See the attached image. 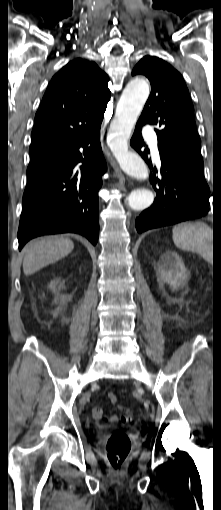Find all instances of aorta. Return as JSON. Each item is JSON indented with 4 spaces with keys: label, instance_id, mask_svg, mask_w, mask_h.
Returning a JSON list of instances; mask_svg holds the SVG:
<instances>
[{
    "label": "aorta",
    "instance_id": "obj_1",
    "mask_svg": "<svg viewBox=\"0 0 221 510\" xmlns=\"http://www.w3.org/2000/svg\"><path fill=\"white\" fill-rule=\"evenodd\" d=\"M149 96V85L142 78L131 80L121 95L110 125L109 146L121 169L129 176L146 180L148 168L144 160L128 150V139ZM154 201V194L147 189H135L126 199L129 208L141 211Z\"/></svg>",
    "mask_w": 221,
    "mask_h": 510
}]
</instances>
